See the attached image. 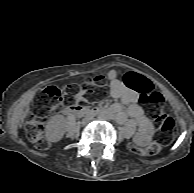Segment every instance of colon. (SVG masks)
<instances>
[{"mask_svg":"<svg viewBox=\"0 0 194 193\" xmlns=\"http://www.w3.org/2000/svg\"><path fill=\"white\" fill-rule=\"evenodd\" d=\"M127 86L137 90L138 101L143 104L148 115L154 120L159 133L156 140L145 148L131 146V151L142 156H153L160 152L162 144L171 140L175 135L176 125L174 120L163 112V96L151 89L147 80L143 77L128 73L124 76ZM105 80L102 76L86 80L81 85H72L68 88L66 99L62 91L56 86H49L41 95L34 111L30 114L26 123L28 139L39 150L49 147V142L44 135L45 121L55 110L59 109L64 100L67 103L76 101L94 102L104 92Z\"/></svg>","mask_w":194,"mask_h":193,"instance_id":"obj_1","label":"colon"}]
</instances>
